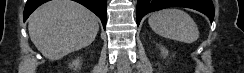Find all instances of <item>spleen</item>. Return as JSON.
Masks as SVG:
<instances>
[{
    "instance_id": "3e777b00",
    "label": "spleen",
    "mask_w": 244,
    "mask_h": 73,
    "mask_svg": "<svg viewBox=\"0 0 244 73\" xmlns=\"http://www.w3.org/2000/svg\"><path fill=\"white\" fill-rule=\"evenodd\" d=\"M148 23L155 33L168 39L190 44L199 38L195 21L180 9L169 8L155 12Z\"/></svg>"
}]
</instances>
